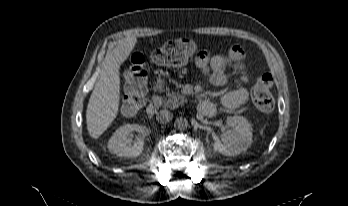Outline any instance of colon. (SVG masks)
Here are the masks:
<instances>
[{
  "label": "colon",
  "mask_w": 348,
  "mask_h": 206,
  "mask_svg": "<svg viewBox=\"0 0 348 206\" xmlns=\"http://www.w3.org/2000/svg\"><path fill=\"white\" fill-rule=\"evenodd\" d=\"M190 51L187 41L168 40L152 52L151 59L157 65L177 67L187 61ZM199 54L200 52L197 57ZM147 75L144 55L139 52L132 54L125 73L126 94L121 104L125 114L133 115L144 106ZM272 83L269 74H261L254 79L251 98L255 107L261 112H270L274 107Z\"/></svg>",
  "instance_id": "5ec220e1"
}]
</instances>
